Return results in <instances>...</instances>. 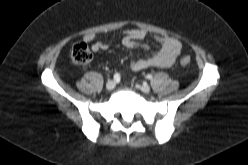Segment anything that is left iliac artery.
Listing matches in <instances>:
<instances>
[{"mask_svg": "<svg viewBox=\"0 0 248 165\" xmlns=\"http://www.w3.org/2000/svg\"><path fill=\"white\" fill-rule=\"evenodd\" d=\"M146 78H147V79H152L153 77H152L151 74H148V75L146 76Z\"/></svg>", "mask_w": 248, "mask_h": 165, "instance_id": "left-iliac-artery-1", "label": "left iliac artery"}]
</instances>
